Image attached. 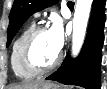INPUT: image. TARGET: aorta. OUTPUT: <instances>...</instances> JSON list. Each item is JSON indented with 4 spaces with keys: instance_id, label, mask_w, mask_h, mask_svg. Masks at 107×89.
Masks as SVG:
<instances>
[{
    "instance_id": "762f6f07",
    "label": "aorta",
    "mask_w": 107,
    "mask_h": 89,
    "mask_svg": "<svg viewBox=\"0 0 107 89\" xmlns=\"http://www.w3.org/2000/svg\"><path fill=\"white\" fill-rule=\"evenodd\" d=\"M93 0H77L73 18L72 55L76 57L83 45Z\"/></svg>"
}]
</instances>
